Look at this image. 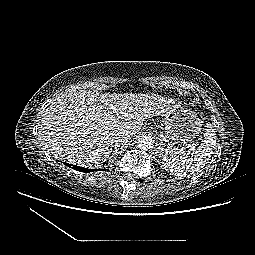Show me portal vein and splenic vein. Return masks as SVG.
Returning a JSON list of instances; mask_svg holds the SVG:
<instances>
[{
	"label": "portal vein and splenic vein",
	"instance_id": "portal-vein-and-splenic-vein-1",
	"mask_svg": "<svg viewBox=\"0 0 255 255\" xmlns=\"http://www.w3.org/2000/svg\"><path fill=\"white\" fill-rule=\"evenodd\" d=\"M111 109H112L113 111H117V109H116L114 106H111ZM189 147L192 148V149L194 150L195 144L189 145Z\"/></svg>",
	"mask_w": 255,
	"mask_h": 255
}]
</instances>
